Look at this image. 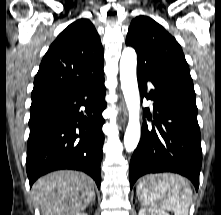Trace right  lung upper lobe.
I'll return each mask as SVG.
<instances>
[{"mask_svg":"<svg viewBox=\"0 0 221 215\" xmlns=\"http://www.w3.org/2000/svg\"><path fill=\"white\" fill-rule=\"evenodd\" d=\"M104 75L103 47L89 19L64 29L44 55L34 79L30 109L84 87Z\"/></svg>","mask_w":221,"mask_h":215,"instance_id":"1","label":"right lung upper lobe"}]
</instances>
